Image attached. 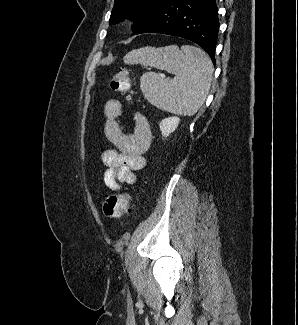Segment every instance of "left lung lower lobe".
Returning a JSON list of instances; mask_svg holds the SVG:
<instances>
[{"label":"left lung lower lobe","instance_id":"0a47b994","mask_svg":"<svg viewBox=\"0 0 298 325\" xmlns=\"http://www.w3.org/2000/svg\"><path fill=\"white\" fill-rule=\"evenodd\" d=\"M218 29L215 0H166L135 33H160L189 39L201 46L215 64Z\"/></svg>","mask_w":298,"mask_h":325}]
</instances>
